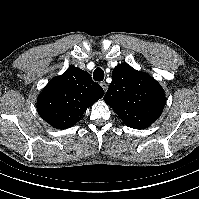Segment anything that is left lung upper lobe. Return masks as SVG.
I'll return each instance as SVG.
<instances>
[{
    "label": "left lung upper lobe",
    "mask_w": 199,
    "mask_h": 199,
    "mask_svg": "<svg viewBox=\"0 0 199 199\" xmlns=\"http://www.w3.org/2000/svg\"><path fill=\"white\" fill-rule=\"evenodd\" d=\"M104 101L124 124L136 129L149 127L161 115L165 94L160 84L147 73L127 64L117 65Z\"/></svg>",
    "instance_id": "obj_1"
}]
</instances>
